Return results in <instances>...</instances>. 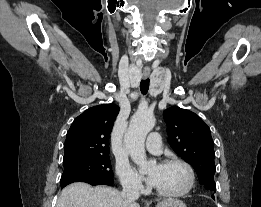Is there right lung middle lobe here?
<instances>
[{"label":"right lung middle lobe","instance_id":"dd1d6c3e","mask_svg":"<svg viewBox=\"0 0 261 207\" xmlns=\"http://www.w3.org/2000/svg\"><path fill=\"white\" fill-rule=\"evenodd\" d=\"M63 165L61 185L85 179H113L109 155L71 159L63 161Z\"/></svg>","mask_w":261,"mask_h":207}]
</instances>
